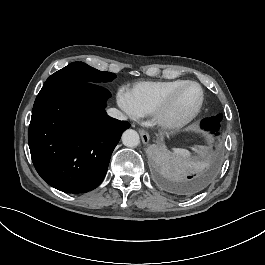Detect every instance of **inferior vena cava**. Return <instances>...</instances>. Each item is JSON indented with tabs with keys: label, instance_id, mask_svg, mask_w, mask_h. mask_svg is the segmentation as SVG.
<instances>
[{
	"label": "inferior vena cava",
	"instance_id": "1",
	"mask_svg": "<svg viewBox=\"0 0 265 265\" xmlns=\"http://www.w3.org/2000/svg\"><path fill=\"white\" fill-rule=\"evenodd\" d=\"M108 114L111 117L116 118L118 120H122V121L127 120V118L124 116V114L121 111H119L118 109H116V108H110L108 110Z\"/></svg>",
	"mask_w": 265,
	"mask_h": 265
}]
</instances>
